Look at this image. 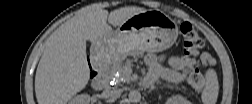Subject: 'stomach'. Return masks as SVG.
I'll return each mask as SVG.
<instances>
[{"label": "stomach", "instance_id": "0dacf381", "mask_svg": "<svg viewBox=\"0 0 252 104\" xmlns=\"http://www.w3.org/2000/svg\"><path fill=\"white\" fill-rule=\"evenodd\" d=\"M178 25L160 10H148L133 15L117 30L94 43L97 54L110 62L144 52H160L175 42Z\"/></svg>", "mask_w": 252, "mask_h": 104}]
</instances>
